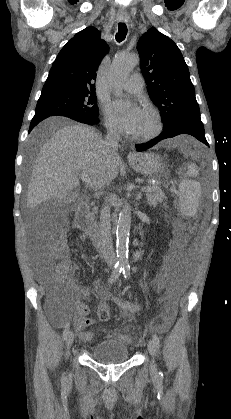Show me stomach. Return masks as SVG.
Instances as JSON below:
<instances>
[{
	"instance_id": "obj_1",
	"label": "stomach",
	"mask_w": 231,
	"mask_h": 419,
	"mask_svg": "<svg viewBox=\"0 0 231 419\" xmlns=\"http://www.w3.org/2000/svg\"><path fill=\"white\" fill-rule=\"evenodd\" d=\"M130 166L148 178L158 180L162 176V159L152 152L137 153L129 158Z\"/></svg>"
}]
</instances>
